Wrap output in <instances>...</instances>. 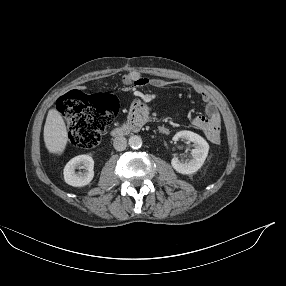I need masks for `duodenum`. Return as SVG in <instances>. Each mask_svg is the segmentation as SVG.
<instances>
[{"instance_id":"duodenum-1","label":"duodenum","mask_w":286,"mask_h":286,"mask_svg":"<svg viewBox=\"0 0 286 286\" xmlns=\"http://www.w3.org/2000/svg\"><path fill=\"white\" fill-rule=\"evenodd\" d=\"M133 115L127 122L120 126L113 127L110 130V135L112 137H120L131 131H138L144 125L143 115L146 112V108H140L139 106H135L133 108Z\"/></svg>"}]
</instances>
